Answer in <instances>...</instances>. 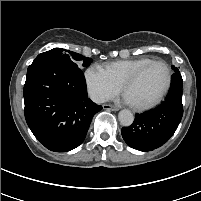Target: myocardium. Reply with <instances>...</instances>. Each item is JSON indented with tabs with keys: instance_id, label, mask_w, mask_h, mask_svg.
I'll list each match as a JSON object with an SVG mask.
<instances>
[{
	"instance_id": "f54148a6",
	"label": "myocardium",
	"mask_w": 201,
	"mask_h": 201,
	"mask_svg": "<svg viewBox=\"0 0 201 201\" xmlns=\"http://www.w3.org/2000/svg\"><path fill=\"white\" fill-rule=\"evenodd\" d=\"M156 63H160V64L164 65V67L166 68L167 79H166L165 86L163 87V89L159 93V95L150 102L143 103V104L130 103V105L136 110L150 109V108L156 106L157 104H159L163 100L165 95L168 93V91L171 87V83H172V70H171L170 65L163 59H153V60L145 63L141 67H139L137 70H135L130 76H128L124 80V82L121 85V91L123 94H125L127 87L130 86L133 82H135L136 79L143 73L144 70H146L149 66L156 64Z\"/></svg>"
}]
</instances>
